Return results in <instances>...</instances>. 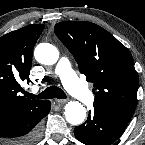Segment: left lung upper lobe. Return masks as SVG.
Segmentation results:
<instances>
[{
  "label": "left lung upper lobe",
  "instance_id": "1",
  "mask_svg": "<svg viewBox=\"0 0 145 145\" xmlns=\"http://www.w3.org/2000/svg\"><path fill=\"white\" fill-rule=\"evenodd\" d=\"M54 30L73 54L80 72L94 83V110L127 124L138 89V74L129 50L91 22H60Z\"/></svg>",
  "mask_w": 145,
  "mask_h": 145
}]
</instances>
